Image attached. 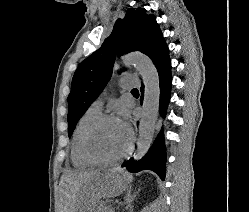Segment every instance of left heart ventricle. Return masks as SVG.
Returning a JSON list of instances; mask_svg holds the SVG:
<instances>
[{"mask_svg":"<svg viewBox=\"0 0 249 212\" xmlns=\"http://www.w3.org/2000/svg\"><path fill=\"white\" fill-rule=\"evenodd\" d=\"M130 135L119 122H105L92 136L90 148L99 159L110 160L121 155L128 147Z\"/></svg>","mask_w":249,"mask_h":212,"instance_id":"b2bd125f","label":"left heart ventricle"}]
</instances>
